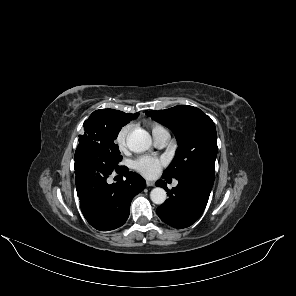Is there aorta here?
<instances>
[{"instance_id": "obj_1", "label": "aorta", "mask_w": 296, "mask_h": 296, "mask_svg": "<svg viewBox=\"0 0 296 296\" xmlns=\"http://www.w3.org/2000/svg\"><path fill=\"white\" fill-rule=\"evenodd\" d=\"M152 145L151 137L142 130H134L127 137V147L130 151L141 153ZM150 198L153 203L161 205L167 198L166 191L161 187H156L150 192Z\"/></svg>"}]
</instances>
